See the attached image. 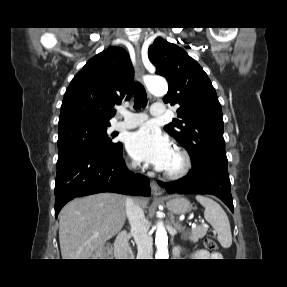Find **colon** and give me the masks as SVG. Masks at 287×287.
I'll return each mask as SVG.
<instances>
[{
	"label": "colon",
	"instance_id": "colon-1",
	"mask_svg": "<svg viewBox=\"0 0 287 287\" xmlns=\"http://www.w3.org/2000/svg\"><path fill=\"white\" fill-rule=\"evenodd\" d=\"M204 246L208 250H216L217 249V244L215 243L214 240L207 238L204 240Z\"/></svg>",
	"mask_w": 287,
	"mask_h": 287
}]
</instances>
